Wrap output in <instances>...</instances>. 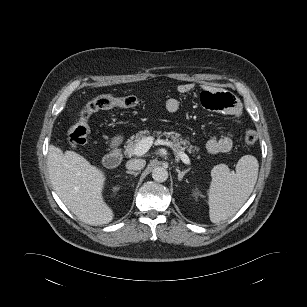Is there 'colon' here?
<instances>
[{
    "label": "colon",
    "mask_w": 307,
    "mask_h": 307,
    "mask_svg": "<svg viewBox=\"0 0 307 307\" xmlns=\"http://www.w3.org/2000/svg\"><path fill=\"white\" fill-rule=\"evenodd\" d=\"M141 100L134 95L115 97L111 94H99L89 100L82 109L79 118L68 130V141L72 146L86 144L89 136L88 119L98 111L111 108H132L140 105ZM256 131L249 129L244 134V141L247 145H254L257 141Z\"/></svg>",
    "instance_id": "obj_1"
}]
</instances>
